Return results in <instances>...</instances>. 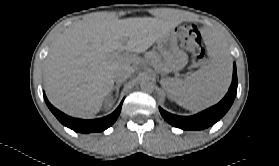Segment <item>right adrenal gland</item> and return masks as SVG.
Wrapping results in <instances>:
<instances>
[{
    "mask_svg": "<svg viewBox=\"0 0 279 166\" xmlns=\"http://www.w3.org/2000/svg\"><path fill=\"white\" fill-rule=\"evenodd\" d=\"M122 85V82L117 83L116 86L113 87V90H116V96H118L119 93V88Z\"/></svg>",
    "mask_w": 279,
    "mask_h": 166,
    "instance_id": "right-adrenal-gland-1",
    "label": "right adrenal gland"
}]
</instances>
